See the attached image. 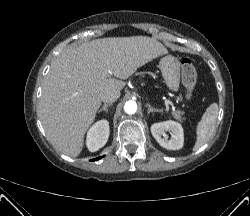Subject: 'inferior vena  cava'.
I'll return each mask as SVG.
<instances>
[{"mask_svg": "<svg viewBox=\"0 0 250 216\" xmlns=\"http://www.w3.org/2000/svg\"><path fill=\"white\" fill-rule=\"evenodd\" d=\"M119 97H120V90L113 88L106 90L102 94L101 99L103 102L112 103L115 102Z\"/></svg>", "mask_w": 250, "mask_h": 216, "instance_id": "1", "label": "inferior vena cava"}]
</instances>
